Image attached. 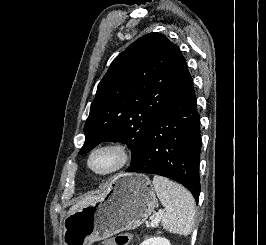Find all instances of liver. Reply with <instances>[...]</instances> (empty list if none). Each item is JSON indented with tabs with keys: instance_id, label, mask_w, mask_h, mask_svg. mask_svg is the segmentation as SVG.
<instances>
[{
	"instance_id": "obj_1",
	"label": "liver",
	"mask_w": 266,
	"mask_h": 245,
	"mask_svg": "<svg viewBox=\"0 0 266 245\" xmlns=\"http://www.w3.org/2000/svg\"><path fill=\"white\" fill-rule=\"evenodd\" d=\"M107 193L104 191V193H101V195H88V197H84L82 201H79V203H76V205H73L71 209H69L68 213H75V211H79V209H83V207H88V205H93V203H98V201H101L103 197H105Z\"/></svg>"
}]
</instances>
